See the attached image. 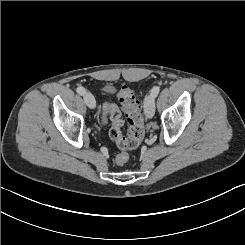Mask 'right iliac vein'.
<instances>
[{"label":"right iliac vein","mask_w":245,"mask_h":245,"mask_svg":"<svg viewBox=\"0 0 245 245\" xmlns=\"http://www.w3.org/2000/svg\"><path fill=\"white\" fill-rule=\"evenodd\" d=\"M84 100L89 108L94 109L96 107L95 98L90 92L84 93Z\"/></svg>","instance_id":"right-iliac-vein-1"}]
</instances>
